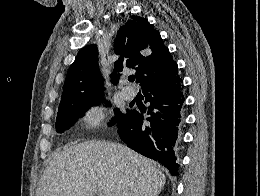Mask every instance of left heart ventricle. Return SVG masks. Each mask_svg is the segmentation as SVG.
Returning <instances> with one entry per match:
<instances>
[{
    "instance_id": "obj_1",
    "label": "left heart ventricle",
    "mask_w": 260,
    "mask_h": 196,
    "mask_svg": "<svg viewBox=\"0 0 260 196\" xmlns=\"http://www.w3.org/2000/svg\"><path fill=\"white\" fill-rule=\"evenodd\" d=\"M65 190H54V192H64ZM98 192H109L108 190H98Z\"/></svg>"
}]
</instances>
